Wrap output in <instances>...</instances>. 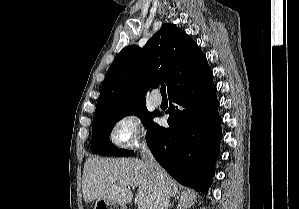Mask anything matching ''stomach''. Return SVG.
Listing matches in <instances>:
<instances>
[{
    "label": "stomach",
    "instance_id": "0dacf381",
    "mask_svg": "<svg viewBox=\"0 0 299 209\" xmlns=\"http://www.w3.org/2000/svg\"><path fill=\"white\" fill-rule=\"evenodd\" d=\"M94 209H125L123 206L113 204L103 199H97Z\"/></svg>",
    "mask_w": 299,
    "mask_h": 209
}]
</instances>
